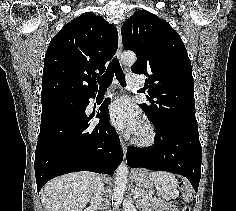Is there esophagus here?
<instances>
[{
	"mask_svg": "<svg viewBox=\"0 0 236 211\" xmlns=\"http://www.w3.org/2000/svg\"><path fill=\"white\" fill-rule=\"evenodd\" d=\"M117 29H118V48H117V57H120L121 53H122V48H123V45H122V37H121V27L118 25L117 26ZM119 138H120V145L122 147V150H123V153L124 155L126 154L127 152V145L123 139V137L121 135H119Z\"/></svg>",
	"mask_w": 236,
	"mask_h": 211,
	"instance_id": "obj_1",
	"label": "esophagus"
}]
</instances>
